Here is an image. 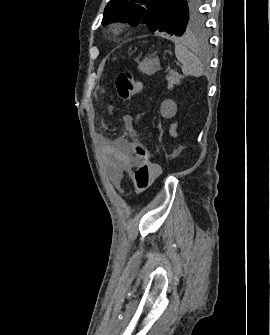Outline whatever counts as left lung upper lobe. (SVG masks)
Returning <instances> with one entry per match:
<instances>
[{
    "instance_id": "obj_1",
    "label": "left lung upper lobe",
    "mask_w": 270,
    "mask_h": 335,
    "mask_svg": "<svg viewBox=\"0 0 270 335\" xmlns=\"http://www.w3.org/2000/svg\"><path fill=\"white\" fill-rule=\"evenodd\" d=\"M198 0H111L103 25L111 22L144 23L151 31L186 36L204 29Z\"/></svg>"
}]
</instances>
